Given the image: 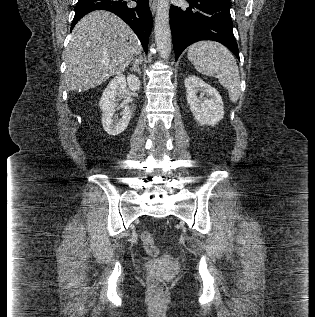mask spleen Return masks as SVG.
Instances as JSON below:
<instances>
[{
	"mask_svg": "<svg viewBox=\"0 0 315 317\" xmlns=\"http://www.w3.org/2000/svg\"><path fill=\"white\" fill-rule=\"evenodd\" d=\"M188 59L195 69L206 76L216 77L236 103L240 95V75L232 53L214 41H199L188 48Z\"/></svg>",
	"mask_w": 315,
	"mask_h": 317,
	"instance_id": "obj_1",
	"label": "spleen"
}]
</instances>
